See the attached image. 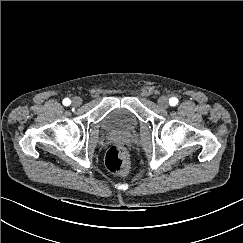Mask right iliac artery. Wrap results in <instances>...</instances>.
<instances>
[{
  "label": "right iliac artery",
  "mask_w": 243,
  "mask_h": 243,
  "mask_svg": "<svg viewBox=\"0 0 243 243\" xmlns=\"http://www.w3.org/2000/svg\"><path fill=\"white\" fill-rule=\"evenodd\" d=\"M70 103H71V101H70L69 98H65V99L63 100V104H64L65 106L70 105Z\"/></svg>",
  "instance_id": "82829eb1"
}]
</instances>
